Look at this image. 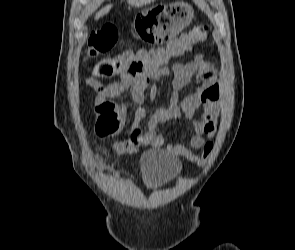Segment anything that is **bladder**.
Returning <instances> with one entry per match:
<instances>
[{"label": "bladder", "mask_w": 295, "mask_h": 250, "mask_svg": "<svg viewBox=\"0 0 295 250\" xmlns=\"http://www.w3.org/2000/svg\"><path fill=\"white\" fill-rule=\"evenodd\" d=\"M141 166L144 180L147 186L153 190L173 182L182 170L181 161L162 150H149L143 153Z\"/></svg>", "instance_id": "31cf9c89"}]
</instances>
